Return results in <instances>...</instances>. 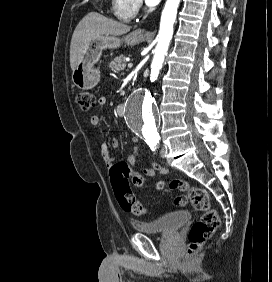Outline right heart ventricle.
Instances as JSON below:
<instances>
[{
	"label": "right heart ventricle",
	"instance_id": "right-heart-ventricle-1",
	"mask_svg": "<svg viewBox=\"0 0 272 282\" xmlns=\"http://www.w3.org/2000/svg\"><path fill=\"white\" fill-rule=\"evenodd\" d=\"M130 0H112L114 14L121 20L128 21L133 14L129 11Z\"/></svg>",
	"mask_w": 272,
	"mask_h": 282
}]
</instances>
